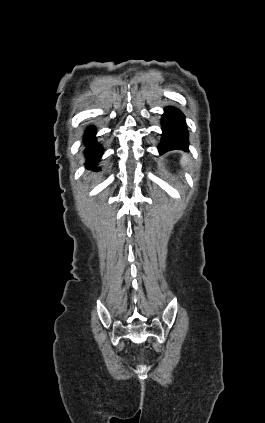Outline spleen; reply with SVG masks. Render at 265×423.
I'll use <instances>...</instances> for the list:
<instances>
[{
	"label": "spleen",
	"mask_w": 265,
	"mask_h": 423,
	"mask_svg": "<svg viewBox=\"0 0 265 423\" xmlns=\"http://www.w3.org/2000/svg\"><path fill=\"white\" fill-rule=\"evenodd\" d=\"M189 163L188 157L187 155H183L182 160H181V164L183 166H186Z\"/></svg>",
	"instance_id": "obj_1"
}]
</instances>
